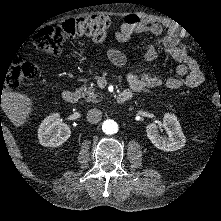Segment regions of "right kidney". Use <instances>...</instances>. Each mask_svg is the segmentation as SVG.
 I'll use <instances>...</instances> for the list:
<instances>
[{
    "label": "right kidney",
    "instance_id": "ca27d5eb",
    "mask_svg": "<svg viewBox=\"0 0 221 221\" xmlns=\"http://www.w3.org/2000/svg\"><path fill=\"white\" fill-rule=\"evenodd\" d=\"M71 135L69 126L60 120L59 113H51L42 120L38 128L39 143L45 147H57Z\"/></svg>",
    "mask_w": 221,
    "mask_h": 221
}]
</instances>
